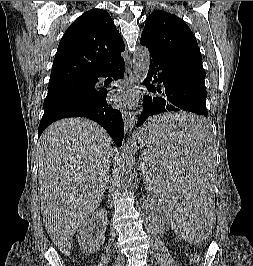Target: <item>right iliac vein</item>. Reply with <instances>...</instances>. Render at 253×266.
<instances>
[{"label":"right iliac vein","instance_id":"right-iliac-vein-1","mask_svg":"<svg viewBox=\"0 0 253 266\" xmlns=\"http://www.w3.org/2000/svg\"><path fill=\"white\" fill-rule=\"evenodd\" d=\"M112 266H124V260H123L122 258L118 257V258L114 261V263H113Z\"/></svg>","mask_w":253,"mask_h":266}]
</instances>
